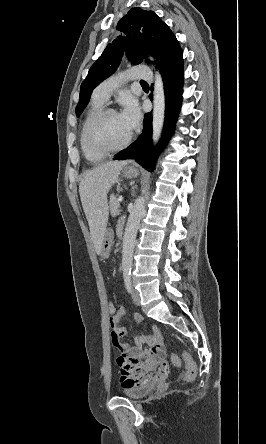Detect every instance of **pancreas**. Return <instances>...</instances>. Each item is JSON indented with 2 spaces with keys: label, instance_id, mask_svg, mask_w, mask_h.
<instances>
[{
  "label": "pancreas",
  "instance_id": "obj_1",
  "mask_svg": "<svg viewBox=\"0 0 266 444\" xmlns=\"http://www.w3.org/2000/svg\"><path fill=\"white\" fill-rule=\"evenodd\" d=\"M120 203L119 200L116 198L115 195H111L110 197V212L112 216H116L119 214L120 210Z\"/></svg>",
  "mask_w": 266,
  "mask_h": 444
}]
</instances>
